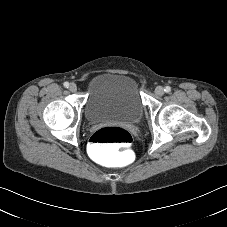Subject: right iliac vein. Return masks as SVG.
Returning <instances> with one entry per match:
<instances>
[{
    "label": "right iliac vein",
    "instance_id": "obj_1",
    "mask_svg": "<svg viewBox=\"0 0 227 227\" xmlns=\"http://www.w3.org/2000/svg\"><path fill=\"white\" fill-rule=\"evenodd\" d=\"M69 90H70L71 92H76V91H77V85H76L75 83H71V84L69 85Z\"/></svg>",
    "mask_w": 227,
    "mask_h": 227
}]
</instances>
